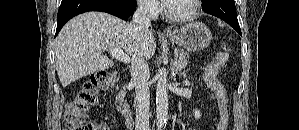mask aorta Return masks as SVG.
<instances>
[{
    "label": "aorta",
    "instance_id": "1",
    "mask_svg": "<svg viewBox=\"0 0 299 130\" xmlns=\"http://www.w3.org/2000/svg\"><path fill=\"white\" fill-rule=\"evenodd\" d=\"M156 88V118L157 128L161 130L166 124L168 113L167 74L165 69H159Z\"/></svg>",
    "mask_w": 299,
    "mask_h": 130
}]
</instances>
